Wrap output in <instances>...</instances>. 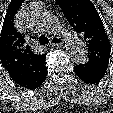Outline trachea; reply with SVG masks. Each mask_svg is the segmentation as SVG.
<instances>
[{
	"label": "trachea",
	"mask_w": 113,
	"mask_h": 113,
	"mask_svg": "<svg viewBox=\"0 0 113 113\" xmlns=\"http://www.w3.org/2000/svg\"><path fill=\"white\" fill-rule=\"evenodd\" d=\"M39 42H40L41 45H45V44H48L49 43V39L46 36L41 35L39 37Z\"/></svg>",
	"instance_id": "obj_1"
}]
</instances>
